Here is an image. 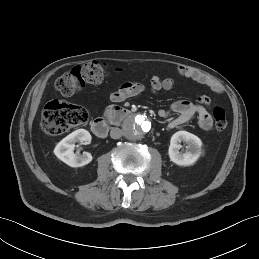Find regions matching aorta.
<instances>
[{
    "label": "aorta",
    "instance_id": "762f6f07",
    "mask_svg": "<svg viewBox=\"0 0 259 259\" xmlns=\"http://www.w3.org/2000/svg\"><path fill=\"white\" fill-rule=\"evenodd\" d=\"M151 129L150 121L143 115L131 117L125 124V132L130 139H140Z\"/></svg>",
    "mask_w": 259,
    "mask_h": 259
}]
</instances>
